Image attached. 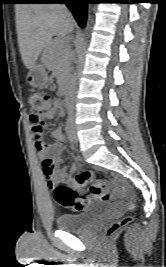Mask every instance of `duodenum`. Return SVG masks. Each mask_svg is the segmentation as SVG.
I'll return each mask as SVG.
<instances>
[{
	"label": "duodenum",
	"mask_w": 166,
	"mask_h": 267,
	"mask_svg": "<svg viewBox=\"0 0 166 267\" xmlns=\"http://www.w3.org/2000/svg\"><path fill=\"white\" fill-rule=\"evenodd\" d=\"M67 92V83L66 81H63L60 85V94L61 96H64Z\"/></svg>",
	"instance_id": "duodenum-1"
}]
</instances>
